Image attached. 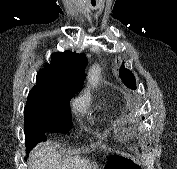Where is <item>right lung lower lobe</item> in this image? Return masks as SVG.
I'll return each mask as SVG.
<instances>
[{"instance_id":"1","label":"right lung lower lobe","mask_w":177,"mask_h":169,"mask_svg":"<svg viewBox=\"0 0 177 169\" xmlns=\"http://www.w3.org/2000/svg\"><path fill=\"white\" fill-rule=\"evenodd\" d=\"M25 144L26 148L29 150L34 147L37 143L46 140L45 132H32V130H25Z\"/></svg>"}]
</instances>
